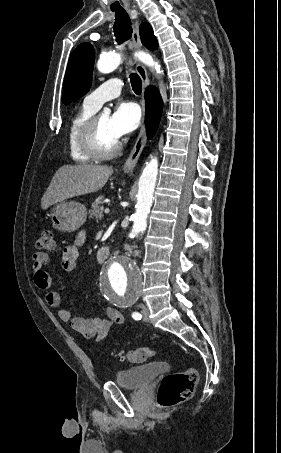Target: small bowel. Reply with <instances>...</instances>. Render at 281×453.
<instances>
[{"instance_id": "obj_1", "label": "small bowel", "mask_w": 281, "mask_h": 453, "mask_svg": "<svg viewBox=\"0 0 281 453\" xmlns=\"http://www.w3.org/2000/svg\"><path fill=\"white\" fill-rule=\"evenodd\" d=\"M85 241L84 234H78L73 244L66 245L62 252L63 270L71 273L75 270L80 249ZM51 257L45 252H37L32 256L33 281L36 286L45 292V299L50 307L57 309L62 321L68 322L73 330L82 334L86 339L102 340L108 337L115 324L123 322V315L116 310H109L108 317H94L84 319L73 316L72 312L62 307L58 292L50 291L51 277L48 273Z\"/></svg>"}]
</instances>
